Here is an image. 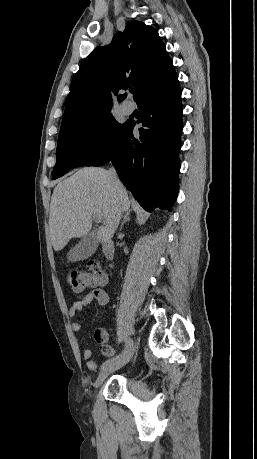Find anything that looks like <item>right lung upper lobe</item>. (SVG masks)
I'll list each match as a JSON object with an SVG mask.
<instances>
[{
    "instance_id": "obj_1",
    "label": "right lung upper lobe",
    "mask_w": 257,
    "mask_h": 459,
    "mask_svg": "<svg viewBox=\"0 0 257 459\" xmlns=\"http://www.w3.org/2000/svg\"><path fill=\"white\" fill-rule=\"evenodd\" d=\"M175 72L172 60L156 29L130 21L112 42L97 47L84 60L72 80L60 133L109 111L111 91L135 87L137 101ZM120 95L118 101L125 99Z\"/></svg>"
}]
</instances>
